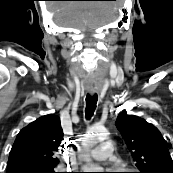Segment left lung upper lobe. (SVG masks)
I'll return each mask as SVG.
<instances>
[{"label":"left lung upper lobe","instance_id":"5c2ea615","mask_svg":"<svg viewBox=\"0 0 173 173\" xmlns=\"http://www.w3.org/2000/svg\"><path fill=\"white\" fill-rule=\"evenodd\" d=\"M116 127L136 162L139 173H173V161L160 131L143 118L120 114Z\"/></svg>","mask_w":173,"mask_h":173}]
</instances>
